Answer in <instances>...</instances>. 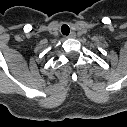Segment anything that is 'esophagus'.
<instances>
[{"label":"esophagus","instance_id":"1","mask_svg":"<svg viewBox=\"0 0 127 127\" xmlns=\"http://www.w3.org/2000/svg\"><path fill=\"white\" fill-rule=\"evenodd\" d=\"M76 37V33L75 32H71L67 38H75Z\"/></svg>","mask_w":127,"mask_h":127}]
</instances>
